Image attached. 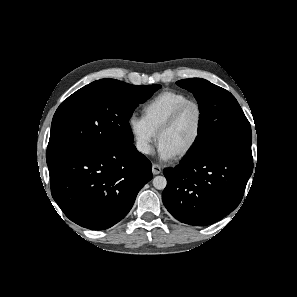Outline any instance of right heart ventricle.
Wrapping results in <instances>:
<instances>
[{"instance_id": "obj_1", "label": "right heart ventricle", "mask_w": 297, "mask_h": 297, "mask_svg": "<svg viewBox=\"0 0 297 297\" xmlns=\"http://www.w3.org/2000/svg\"><path fill=\"white\" fill-rule=\"evenodd\" d=\"M191 99L178 91H162L142 106V117L157 134L162 124L182 104Z\"/></svg>"}]
</instances>
